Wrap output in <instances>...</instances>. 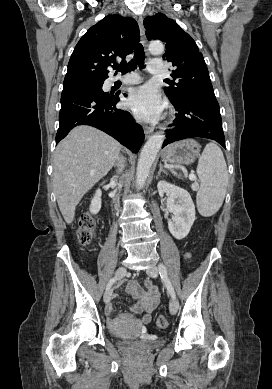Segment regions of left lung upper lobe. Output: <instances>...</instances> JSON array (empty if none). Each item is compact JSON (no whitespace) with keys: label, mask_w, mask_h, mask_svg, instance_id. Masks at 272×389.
Here are the masks:
<instances>
[{"label":"left lung upper lobe","mask_w":272,"mask_h":389,"mask_svg":"<svg viewBox=\"0 0 272 389\" xmlns=\"http://www.w3.org/2000/svg\"><path fill=\"white\" fill-rule=\"evenodd\" d=\"M148 40L160 39L166 43L163 58L172 62L173 80L165 79L164 88L172 103H178L192 91L212 88L203 55L192 37L165 14L158 13L144 19Z\"/></svg>","instance_id":"5c2ea615"}]
</instances>
